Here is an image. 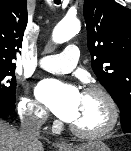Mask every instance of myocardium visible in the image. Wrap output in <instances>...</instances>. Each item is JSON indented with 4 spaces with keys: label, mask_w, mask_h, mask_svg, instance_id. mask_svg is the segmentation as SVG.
Instances as JSON below:
<instances>
[{
    "label": "myocardium",
    "mask_w": 131,
    "mask_h": 151,
    "mask_svg": "<svg viewBox=\"0 0 131 151\" xmlns=\"http://www.w3.org/2000/svg\"><path fill=\"white\" fill-rule=\"evenodd\" d=\"M83 94L101 97L107 105L109 119L104 127L97 130H83L70 124L69 128L71 132L76 136L85 139H97L108 135L114 130L119 119V110L115 99L107 90L100 86H90L84 90Z\"/></svg>",
    "instance_id": "1"
}]
</instances>
